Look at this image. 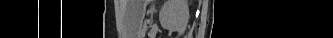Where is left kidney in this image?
<instances>
[{"label":"left kidney","instance_id":"obj_1","mask_svg":"<svg viewBox=\"0 0 333 38\" xmlns=\"http://www.w3.org/2000/svg\"><path fill=\"white\" fill-rule=\"evenodd\" d=\"M189 8L187 0H166L159 12L161 26L181 36L187 27Z\"/></svg>","mask_w":333,"mask_h":38}]
</instances>
